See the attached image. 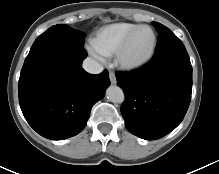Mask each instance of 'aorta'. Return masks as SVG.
Instances as JSON below:
<instances>
[{
    "mask_svg": "<svg viewBox=\"0 0 219 174\" xmlns=\"http://www.w3.org/2000/svg\"><path fill=\"white\" fill-rule=\"evenodd\" d=\"M106 95L113 103H122L125 100L124 92L118 86H109L106 90Z\"/></svg>",
    "mask_w": 219,
    "mask_h": 174,
    "instance_id": "1",
    "label": "aorta"
}]
</instances>
